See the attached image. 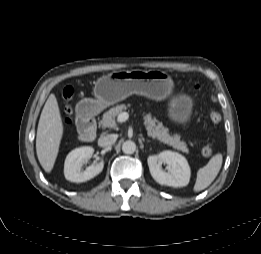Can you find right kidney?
Wrapping results in <instances>:
<instances>
[{
	"label": "right kidney",
	"instance_id": "ca27d5eb",
	"mask_svg": "<svg viewBox=\"0 0 261 254\" xmlns=\"http://www.w3.org/2000/svg\"><path fill=\"white\" fill-rule=\"evenodd\" d=\"M94 153V149L90 146L80 147L72 150L66 157L64 164L65 178L71 182H85L97 176L104 167V162L101 161L96 165L87 167L84 171L81 170L85 161L90 159Z\"/></svg>",
	"mask_w": 261,
	"mask_h": 254
}]
</instances>
